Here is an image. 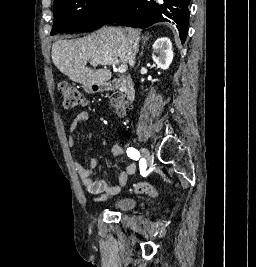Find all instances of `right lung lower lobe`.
Wrapping results in <instances>:
<instances>
[{
  "label": "right lung lower lobe",
  "instance_id": "obj_1",
  "mask_svg": "<svg viewBox=\"0 0 256 267\" xmlns=\"http://www.w3.org/2000/svg\"><path fill=\"white\" fill-rule=\"evenodd\" d=\"M189 3L190 0H132L124 14L110 23L146 28L157 22H171L184 43L188 31Z\"/></svg>",
  "mask_w": 256,
  "mask_h": 267
}]
</instances>
